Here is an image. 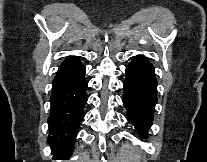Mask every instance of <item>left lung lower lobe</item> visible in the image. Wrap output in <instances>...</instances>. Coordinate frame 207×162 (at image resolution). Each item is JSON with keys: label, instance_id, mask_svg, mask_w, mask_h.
Masks as SVG:
<instances>
[{"label": "left lung lower lobe", "instance_id": "0a47b994", "mask_svg": "<svg viewBox=\"0 0 207 162\" xmlns=\"http://www.w3.org/2000/svg\"><path fill=\"white\" fill-rule=\"evenodd\" d=\"M123 88L127 119L135 126L140 136L145 138L146 130L152 124L157 102L154 68L146 57L138 55L127 66Z\"/></svg>", "mask_w": 207, "mask_h": 162}]
</instances>
